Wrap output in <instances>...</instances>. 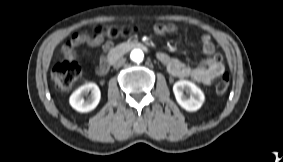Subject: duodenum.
I'll return each instance as SVG.
<instances>
[{
    "label": "duodenum",
    "instance_id": "duodenum-1",
    "mask_svg": "<svg viewBox=\"0 0 283 162\" xmlns=\"http://www.w3.org/2000/svg\"><path fill=\"white\" fill-rule=\"evenodd\" d=\"M133 49H146V45L139 41H127L117 45L114 50H110V55L107 57L109 65Z\"/></svg>",
    "mask_w": 283,
    "mask_h": 162
}]
</instances>
